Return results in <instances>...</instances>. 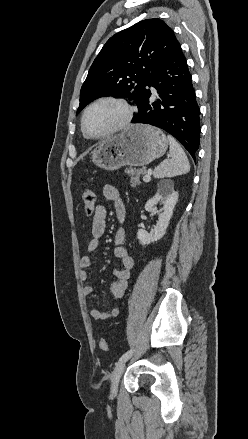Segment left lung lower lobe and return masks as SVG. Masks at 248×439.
<instances>
[{"label":"left lung lower lobe","instance_id":"0a47b994","mask_svg":"<svg viewBox=\"0 0 248 439\" xmlns=\"http://www.w3.org/2000/svg\"><path fill=\"white\" fill-rule=\"evenodd\" d=\"M200 109L179 42L151 77L132 123L159 127L173 135L196 159Z\"/></svg>","mask_w":248,"mask_h":439}]
</instances>
